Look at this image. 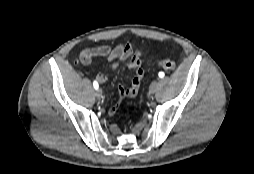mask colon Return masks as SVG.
Returning <instances> with one entry per match:
<instances>
[{
	"instance_id": "colon-1",
	"label": "colon",
	"mask_w": 254,
	"mask_h": 174,
	"mask_svg": "<svg viewBox=\"0 0 254 174\" xmlns=\"http://www.w3.org/2000/svg\"><path fill=\"white\" fill-rule=\"evenodd\" d=\"M158 65L160 68L168 71H173L176 68V63L170 59H163L159 61Z\"/></svg>"
}]
</instances>
